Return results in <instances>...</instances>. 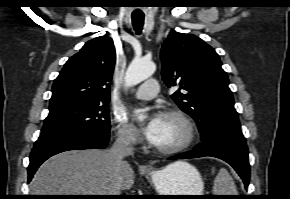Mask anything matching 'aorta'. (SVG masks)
Instances as JSON below:
<instances>
[{
	"mask_svg": "<svg viewBox=\"0 0 290 199\" xmlns=\"http://www.w3.org/2000/svg\"><path fill=\"white\" fill-rule=\"evenodd\" d=\"M156 70V65L152 61L143 59H134L129 65L125 75V85L130 87L141 83L151 77ZM145 116L139 115V119L143 120Z\"/></svg>",
	"mask_w": 290,
	"mask_h": 199,
	"instance_id": "1",
	"label": "aorta"
}]
</instances>
